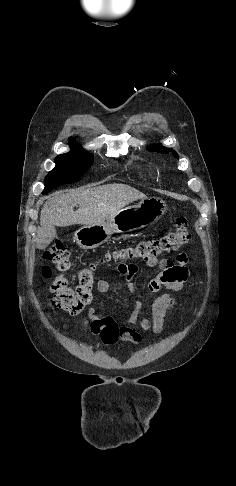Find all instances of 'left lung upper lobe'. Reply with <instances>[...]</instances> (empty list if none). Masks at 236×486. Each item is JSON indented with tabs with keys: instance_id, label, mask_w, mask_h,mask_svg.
Returning a JSON list of instances; mask_svg holds the SVG:
<instances>
[{
	"instance_id": "5c2ea615",
	"label": "left lung upper lobe",
	"mask_w": 236,
	"mask_h": 486,
	"mask_svg": "<svg viewBox=\"0 0 236 486\" xmlns=\"http://www.w3.org/2000/svg\"><path fill=\"white\" fill-rule=\"evenodd\" d=\"M147 150L152 151V152L164 153V154L169 153L170 151H172L171 149L166 148V147H163L160 144L159 145L149 146L147 148ZM173 155H174V157L179 158L178 154L175 151H173Z\"/></svg>"
}]
</instances>
